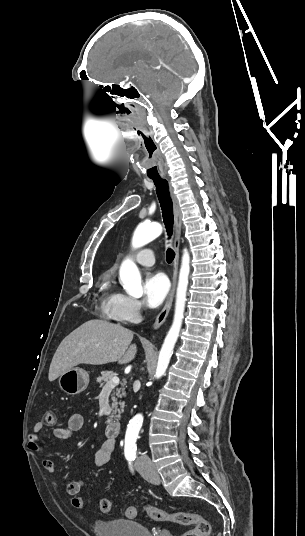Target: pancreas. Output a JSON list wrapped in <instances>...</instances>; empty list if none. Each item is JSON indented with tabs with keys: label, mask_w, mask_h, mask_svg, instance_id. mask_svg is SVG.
I'll list each match as a JSON object with an SVG mask.
<instances>
[{
	"label": "pancreas",
	"mask_w": 305,
	"mask_h": 536,
	"mask_svg": "<svg viewBox=\"0 0 305 536\" xmlns=\"http://www.w3.org/2000/svg\"><path fill=\"white\" fill-rule=\"evenodd\" d=\"M101 374L102 376H99V378H96V382L100 384L99 388H103L104 384H107V382H110L111 378H114L115 376L114 372H101ZM122 386H126V382H124ZM122 396H126L125 388H116V390H113L111 394V400H112L111 418H115V420H118V418H120L121 416V412H123L125 402H119V406H121V410H119L118 408V400L119 398H122ZM111 418H108V420H111Z\"/></svg>",
	"instance_id": "cf45deb5"
}]
</instances>
